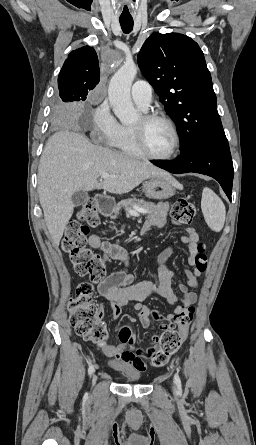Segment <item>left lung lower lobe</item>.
Segmentation results:
<instances>
[{"label":"left lung lower lobe","instance_id":"1","mask_svg":"<svg viewBox=\"0 0 256 445\" xmlns=\"http://www.w3.org/2000/svg\"><path fill=\"white\" fill-rule=\"evenodd\" d=\"M154 165L171 173H201L216 179L231 201L233 163L226 136L197 141L171 160H152Z\"/></svg>","mask_w":256,"mask_h":445}]
</instances>
